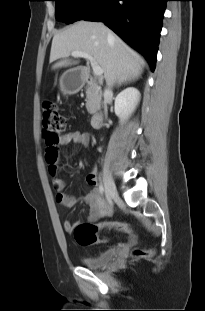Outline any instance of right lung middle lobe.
Wrapping results in <instances>:
<instances>
[{"mask_svg":"<svg viewBox=\"0 0 205 311\" xmlns=\"http://www.w3.org/2000/svg\"><path fill=\"white\" fill-rule=\"evenodd\" d=\"M56 3L55 17L66 24L82 20L94 12L103 0H53Z\"/></svg>","mask_w":205,"mask_h":311,"instance_id":"obj_1","label":"right lung middle lobe"}]
</instances>
